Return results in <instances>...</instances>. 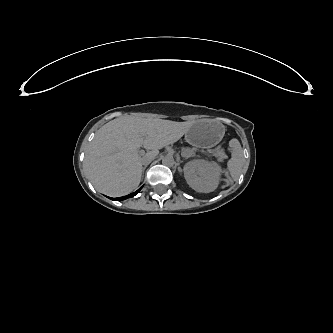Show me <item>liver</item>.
Here are the masks:
<instances>
[{
	"mask_svg": "<svg viewBox=\"0 0 333 333\" xmlns=\"http://www.w3.org/2000/svg\"><path fill=\"white\" fill-rule=\"evenodd\" d=\"M159 121H143L142 128L154 131ZM181 133H151L138 136H99L85 154V167L93 186L107 194H127L135 190L142 178V160L154 158L158 150L176 142ZM148 152L141 157L138 150Z\"/></svg>",
	"mask_w": 333,
	"mask_h": 333,
	"instance_id": "obj_1",
	"label": "liver"
}]
</instances>
